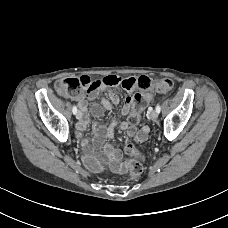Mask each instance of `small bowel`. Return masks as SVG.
<instances>
[{
  "label": "small bowel",
  "instance_id": "small-bowel-1",
  "mask_svg": "<svg viewBox=\"0 0 228 228\" xmlns=\"http://www.w3.org/2000/svg\"><path fill=\"white\" fill-rule=\"evenodd\" d=\"M97 96H100L101 103H93L91 106V113L94 117L98 119V121L93 125L94 130V147H104V154L109 160L112 168L115 171H122L123 166L120 163L121 154L120 152L113 147L111 144H104L105 140L111 138L114 133V129L118 126L117 121H113L111 125L106 128L105 125L100 121L101 117L103 116L104 109H112L113 106L119 103V91L117 89H112L108 93V98L103 96L100 91H93L90 92L88 95L89 99H94ZM77 102L79 108L81 110V118L80 122L77 124L78 132H83L87 129L89 125V117H88V101L87 98L84 96H80L77 98ZM132 109V98L128 97L125 100V103L122 108V113L124 115H128ZM121 130L126 131L129 137H134L138 142H144L148 136V128L142 127L137 129L136 126L130 124V122L123 121L119 124ZM83 146L87 152H90L91 146L88 142L84 141Z\"/></svg>",
  "mask_w": 228,
  "mask_h": 228
}]
</instances>
